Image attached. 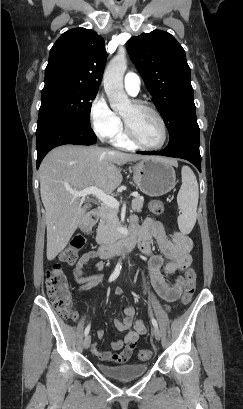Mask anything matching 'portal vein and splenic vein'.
<instances>
[{"mask_svg":"<svg viewBox=\"0 0 243 409\" xmlns=\"http://www.w3.org/2000/svg\"><path fill=\"white\" fill-rule=\"evenodd\" d=\"M70 194H72L75 197H86L87 195H93L96 198H98L103 204L118 209L120 206V203L118 200H116L114 197L106 194L103 190L99 189L96 186H91L88 188H85L82 191H75V190H69ZM131 196H137V193L134 192L131 194Z\"/></svg>","mask_w":243,"mask_h":409,"instance_id":"portal-vein-and-splenic-vein-1","label":"portal vein and splenic vein"}]
</instances>
